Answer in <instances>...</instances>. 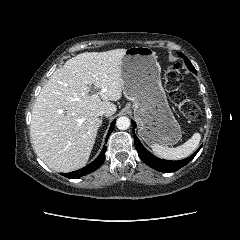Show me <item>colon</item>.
<instances>
[{
	"label": "colon",
	"instance_id": "colon-1",
	"mask_svg": "<svg viewBox=\"0 0 240 240\" xmlns=\"http://www.w3.org/2000/svg\"><path fill=\"white\" fill-rule=\"evenodd\" d=\"M164 81L171 101L181 114L192 120L198 119L201 114L199 107L186 96L181 88L182 74L179 64H173L167 67Z\"/></svg>",
	"mask_w": 240,
	"mask_h": 240
}]
</instances>
